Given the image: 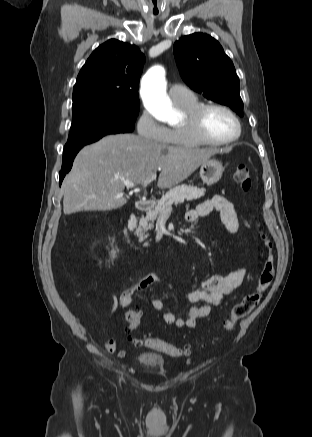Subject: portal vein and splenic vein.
Returning a JSON list of instances; mask_svg holds the SVG:
<instances>
[{"instance_id": "portal-vein-and-splenic-vein-1", "label": "portal vein and splenic vein", "mask_w": 312, "mask_h": 437, "mask_svg": "<svg viewBox=\"0 0 312 437\" xmlns=\"http://www.w3.org/2000/svg\"><path fill=\"white\" fill-rule=\"evenodd\" d=\"M156 176H157L156 173L150 175V176H149V177L144 181L143 186L146 187L149 183H151L153 180L156 179ZM123 183H124V185H125L127 188H133V187L136 186V184H135L134 182L130 181V180H124ZM171 210H172V207H169L166 211H171Z\"/></svg>"}]
</instances>
